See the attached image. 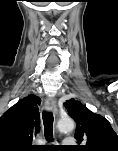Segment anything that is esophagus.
<instances>
[{"label": "esophagus", "mask_w": 118, "mask_h": 151, "mask_svg": "<svg viewBox=\"0 0 118 151\" xmlns=\"http://www.w3.org/2000/svg\"><path fill=\"white\" fill-rule=\"evenodd\" d=\"M45 108L48 111L56 113L57 112V105H56L55 99L54 98H47L45 101Z\"/></svg>", "instance_id": "obj_1"}]
</instances>
